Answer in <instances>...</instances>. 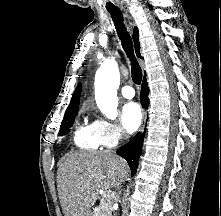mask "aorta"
I'll return each instance as SVG.
<instances>
[{
	"label": "aorta",
	"instance_id": "aorta-1",
	"mask_svg": "<svg viewBox=\"0 0 221 216\" xmlns=\"http://www.w3.org/2000/svg\"><path fill=\"white\" fill-rule=\"evenodd\" d=\"M120 84L118 64L114 59L103 61L95 75V99L100 111L108 119L117 117V89Z\"/></svg>",
	"mask_w": 221,
	"mask_h": 216
}]
</instances>
